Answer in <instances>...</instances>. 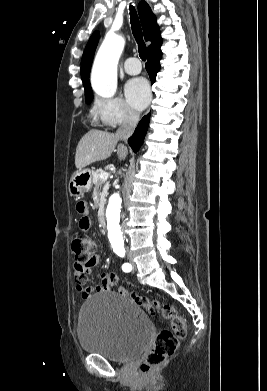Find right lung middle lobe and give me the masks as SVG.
<instances>
[{
  "label": "right lung middle lobe",
  "instance_id": "right-lung-middle-lobe-1",
  "mask_svg": "<svg viewBox=\"0 0 267 391\" xmlns=\"http://www.w3.org/2000/svg\"><path fill=\"white\" fill-rule=\"evenodd\" d=\"M93 99L92 91L85 93V100L87 104H90Z\"/></svg>",
  "mask_w": 267,
  "mask_h": 391
}]
</instances>
